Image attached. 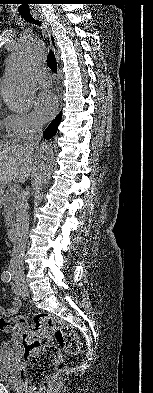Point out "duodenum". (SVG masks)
Instances as JSON below:
<instances>
[{
	"label": "duodenum",
	"instance_id": "duodenum-1",
	"mask_svg": "<svg viewBox=\"0 0 153 393\" xmlns=\"http://www.w3.org/2000/svg\"><path fill=\"white\" fill-rule=\"evenodd\" d=\"M8 237L11 240H15L17 238V228L16 226H10L7 231Z\"/></svg>",
	"mask_w": 153,
	"mask_h": 393
}]
</instances>
